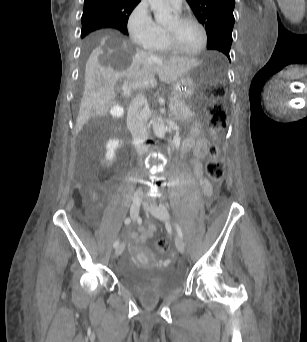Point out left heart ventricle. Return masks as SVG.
<instances>
[{
  "instance_id": "obj_1",
  "label": "left heart ventricle",
  "mask_w": 307,
  "mask_h": 342,
  "mask_svg": "<svg viewBox=\"0 0 307 342\" xmlns=\"http://www.w3.org/2000/svg\"><path fill=\"white\" fill-rule=\"evenodd\" d=\"M173 44L181 50L193 51L200 47L203 41V33L199 25L188 21L179 23L177 18L162 30Z\"/></svg>"
}]
</instances>
